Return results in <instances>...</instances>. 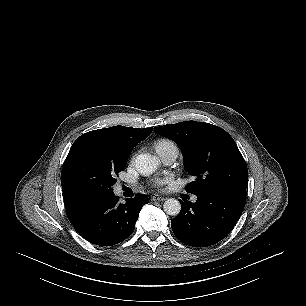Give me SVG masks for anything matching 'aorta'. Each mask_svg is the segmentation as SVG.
<instances>
[{"mask_svg": "<svg viewBox=\"0 0 306 306\" xmlns=\"http://www.w3.org/2000/svg\"><path fill=\"white\" fill-rule=\"evenodd\" d=\"M158 165V159L149 153L140 154L135 158V168L142 175L154 173ZM163 209L166 214L177 216L180 213L181 204L178 200L170 198L164 202Z\"/></svg>", "mask_w": 306, "mask_h": 306, "instance_id": "1", "label": "aorta"}]
</instances>
